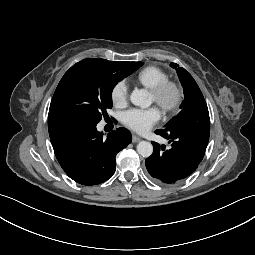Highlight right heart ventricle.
Returning <instances> with one entry per match:
<instances>
[{"label": "right heart ventricle", "mask_w": 255, "mask_h": 255, "mask_svg": "<svg viewBox=\"0 0 255 255\" xmlns=\"http://www.w3.org/2000/svg\"><path fill=\"white\" fill-rule=\"evenodd\" d=\"M167 80L168 74L156 66H147L136 75V81L150 90Z\"/></svg>", "instance_id": "e07e8e85"}]
</instances>
